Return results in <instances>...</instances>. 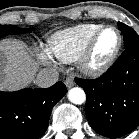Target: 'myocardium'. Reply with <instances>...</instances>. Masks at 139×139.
<instances>
[{"label": "myocardium", "mask_w": 139, "mask_h": 139, "mask_svg": "<svg viewBox=\"0 0 139 139\" xmlns=\"http://www.w3.org/2000/svg\"><path fill=\"white\" fill-rule=\"evenodd\" d=\"M114 30L118 36V43L113 51V53L109 56L108 59H106L104 62L94 65L91 62V58L93 55V51L95 48V44L99 38V36L106 30ZM123 46V36L120 32V30L113 26V25H105L102 26L100 29H98L92 37L89 39L87 45L85 46L84 50L82 51L81 55L79 56L77 60V65L79 70L89 76V77H98L103 74H105L110 68L114 65L117 58L119 57V54L121 52Z\"/></svg>", "instance_id": "obj_1"}]
</instances>
